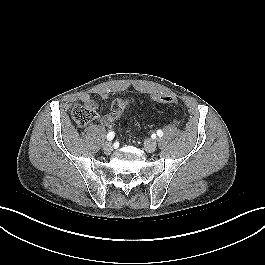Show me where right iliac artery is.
<instances>
[{
  "label": "right iliac artery",
  "mask_w": 265,
  "mask_h": 265,
  "mask_svg": "<svg viewBox=\"0 0 265 265\" xmlns=\"http://www.w3.org/2000/svg\"><path fill=\"white\" fill-rule=\"evenodd\" d=\"M114 136H115L114 132H113V131H110V132L107 134V139H108L109 141H111V140L114 138Z\"/></svg>",
  "instance_id": "1"
}]
</instances>
